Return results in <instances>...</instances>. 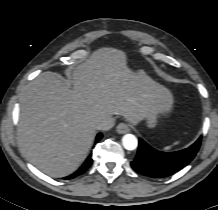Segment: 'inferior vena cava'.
<instances>
[{
  "mask_svg": "<svg viewBox=\"0 0 218 210\" xmlns=\"http://www.w3.org/2000/svg\"><path fill=\"white\" fill-rule=\"evenodd\" d=\"M114 126V120L112 118L103 120L96 125L98 130L107 131L110 130Z\"/></svg>",
  "mask_w": 218,
  "mask_h": 210,
  "instance_id": "1",
  "label": "inferior vena cava"
}]
</instances>
